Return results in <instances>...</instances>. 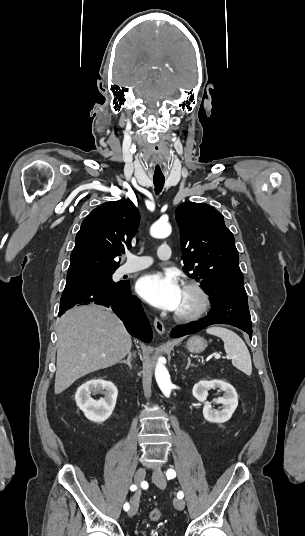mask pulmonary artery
Wrapping results in <instances>:
<instances>
[{"instance_id": "obj_1", "label": "pulmonary artery", "mask_w": 305, "mask_h": 536, "mask_svg": "<svg viewBox=\"0 0 305 536\" xmlns=\"http://www.w3.org/2000/svg\"><path fill=\"white\" fill-rule=\"evenodd\" d=\"M158 258L160 260H167L170 258L169 243L167 241H161L157 251ZM129 261L121 267V274L127 275L134 272H138L148 268L151 265V261H145V256L140 253H133L128 255Z\"/></svg>"}]
</instances>
